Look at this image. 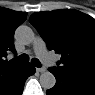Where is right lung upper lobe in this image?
<instances>
[{
	"label": "right lung upper lobe",
	"instance_id": "obj_1",
	"mask_svg": "<svg viewBox=\"0 0 95 95\" xmlns=\"http://www.w3.org/2000/svg\"><path fill=\"white\" fill-rule=\"evenodd\" d=\"M26 16V12L0 8V92L11 87L22 76L27 65L14 59L5 60L7 53L15 51L14 31L26 20Z\"/></svg>",
	"mask_w": 95,
	"mask_h": 95
}]
</instances>
